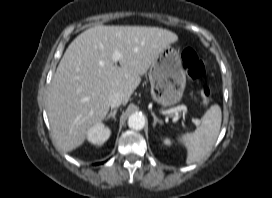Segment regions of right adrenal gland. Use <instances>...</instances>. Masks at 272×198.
<instances>
[{"label": "right adrenal gland", "mask_w": 272, "mask_h": 198, "mask_svg": "<svg viewBox=\"0 0 272 198\" xmlns=\"http://www.w3.org/2000/svg\"><path fill=\"white\" fill-rule=\"evenodd\" d=\"M118 109L115 108L114 110H111L108 116L106 117V121L112 118L113 120H116L115 115L117 113Z\"/></svg>", "instance_id": "obj_1"}]
</instances>
